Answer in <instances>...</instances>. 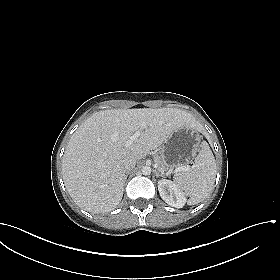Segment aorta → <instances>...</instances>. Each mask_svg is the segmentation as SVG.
Listing matches in <instances>:
<instances>
[{"label":"aorta","mask_w":280,"mask_h":280,"mask_svg":"<svg viewBox=\"0 0 280 280\" xmlns=\"http://www.w3.org/2000/svg\"><path fill=\"white\" fill-rule=\"evenodd\" d=\"M141 171H142L143 175H150L151 174V168L149 166H144Z\"/></svg>","instance_id":"1"}]
</instances>
